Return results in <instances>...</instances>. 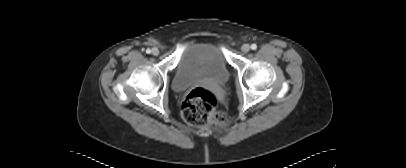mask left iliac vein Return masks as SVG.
Here are the masks:
<instances>
[{
  "label": "left iliac vein",
  "instance_id": "4c4485c4",
  "mask_svg": "<svg viewBox=\"0 0 406 168\" xmlns=\"http://www.w3.org/2000/svg\"><path fill=\"white\" fill-rule=\"evenodd\" d=\"M241 50L243 53H248L250 51V45L249 44H243L241 47Z\"/></svg>",
  "mask_w": 406,
  "mask_h": 168
}]
</instances>
